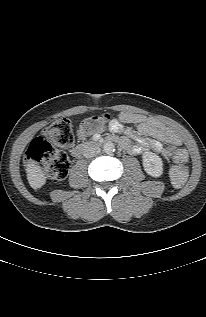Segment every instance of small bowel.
Here are the masks:
<instances>
[{"mask_svg":"<svg viewBox=\"0 0 206 317\" xmlns=\"http://www.w3.org/2000/svg\"><path fill=\"white\" fill-rule=\"evenodd\" d=\"M126 124L136 125L139 136H134L130 129H125ZM109 128L114 133L125 132L127 136L136 139L137 143L131 144L128 137L122 138L121 145L132 154L154 151L170 158L180 144L179 137L158 120L139 113L122 112L111 120Z\"/></svg>","mask_w":206,"mask_h":317,"instance_id":"obj_1","label":"small bowel"}]
</instances>
